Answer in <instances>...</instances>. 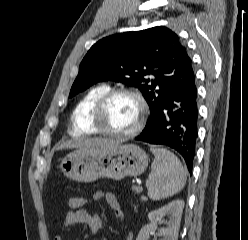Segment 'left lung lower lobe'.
Listing matches in <instances>:
<instances>
[{"mask_svg": "<svg viewBox=\"0 0 248 240\" xmlns=\"http://www.w3.org/2000/svg\"><path fill=\"white\" fill-rule=\"evenodd\" d=\"M198 118L197 87L193 76L169 94L164 105L135 140L175 149L182 155L188 171L192 173Z\"/></svg>", "mask_w": 248, "mask_h": 240, "instance_id": "1", "label": "left lung lower lobe"}]
</instances>
